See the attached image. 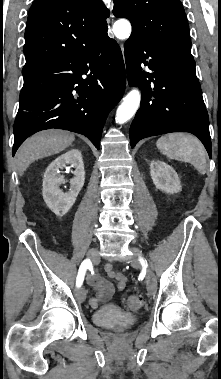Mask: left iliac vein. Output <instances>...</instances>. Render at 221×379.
I'll list each match as a JSON object with an SVG mask.
<instances>
[{
    "instance_id": "obj_1",
    "label": "left iliac vein",
    "mask_w": 221,
    "mask_h": 379,
    "mask_svg": "<svg viewBox=\"0 0 221 379\" xmlns=\"http://www.w3.org/2000/svg\"><path fill=\"white\" fill-rule=\"evenodd\" d=\"M131 250L134 253V257L131 260V265L133 267H135V268H138L141 265L139 258L142 257V252H141L140 249H138L136 247H133ZM146 286H147L148 293L150 295H153L156 292V290H157L156 277H155L154 273L150 269L147 270Z\"/></svg>"
}]
</instances>
